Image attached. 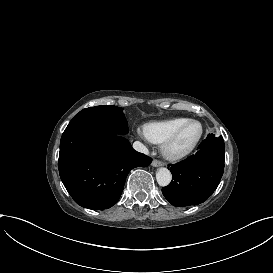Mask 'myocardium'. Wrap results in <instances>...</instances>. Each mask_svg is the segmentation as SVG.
<instances>
[{"label":"myocardium","mask_w":273,"mask_h":273,"mask_svg":"<svg viewBox=\"0 0 273 273\" xmlns=\"http://www.w3.org/2000/svg\"><path fill=\"white\" fill-rule=\"evenodd\" d=\"M197 123L200 125L201 130L197 137L188 145L181 146L180 140L185 132L186 128L191 125ZM205 124L198 119H190L181 125L174 134L164 143L163 150L166 156L173 160H181L189 156L194 149L198 146L200 141L202 140L205 134Z\"/></svg>","instance_id":"1"}]
</instances>
